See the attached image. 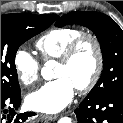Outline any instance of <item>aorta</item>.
<instances>
[{"label":"aorta","instance_id":"762f6f07","mask_svg":"<svg viewBox=\"0 0 123 123\" xmlns=\"http://www.w3.org/2000/svg\"><path fill=\"white\" fill-rule=\"evenodd\" d=\"M55 62L53 60L47 61L41 69V75L45 80H51L54 78L53 66ZM58 123H72L71 118L63 117L59 119Z\"/></svg>","mask_w":123,"mask_h":123}]
</instances>
